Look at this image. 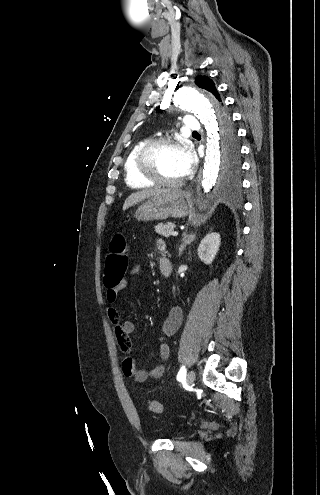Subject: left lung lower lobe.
<instances>
[{
	"label": "left lung lower lobe",
	"instance_id": "1",
	"mask_svg": "<svg viewBox=\"0 0 320 495\" xmlns=\"http://www.w3.org/2000/svg\"><path fill=\"white\" fill-rule=\"evenodd\" d=\"M228 122L230 123V125H232V119H231V116L228 114Z\"/></svg>",
	"mask_w": 320,
	"mask_h": 495
}]
</instances>
